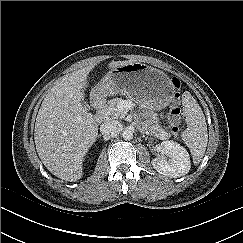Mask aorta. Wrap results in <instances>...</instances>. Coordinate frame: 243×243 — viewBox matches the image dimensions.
Wrapping results in <instances>:
<instances>
[{
  "label": "aorta",
  "mask_w": 243,
  "mask_h": 243,
  "mask_svg": "<svg viewBox=\"0 0 243 243\" xmlns=\"http://www.w3.org/2000/svg\"><path fill=\"white\" fill-rule=\"evenodd\" d=\"M124 140H131L133 138V132L130 129H125L122 133Z\"/></svg>",
  "instance_id": "762f6f07"
}]
</instances>
